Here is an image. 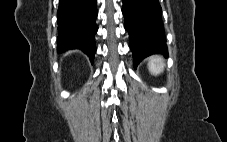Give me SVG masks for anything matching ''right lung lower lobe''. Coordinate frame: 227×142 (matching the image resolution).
I'll list each match as a JSON object with an SVG mask.
<instances>
[{
  "label": "right lung lower lobe",
  "instance_id": "98d812e1",
  "mask_svg": "<svg viewBox=\"0 0 227 142\" xmlns=\"http://www.w3.org/2000/svg\"><path fill=\"white\" fill-rule=\"evenodd\" d=\"M97 0H60L58 18V51L80 49L94 61L96 52L94 36L98 30Z\"/></svg>",
  "mask_w": 227,
  "mask_h": 142
}]
</instances>
